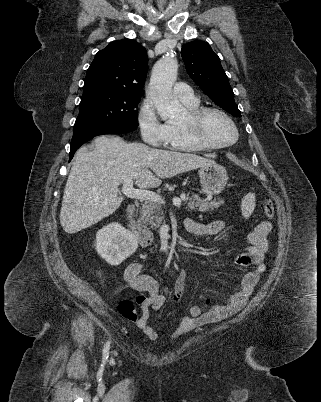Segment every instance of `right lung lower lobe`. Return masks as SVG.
I'll use <instances>...</instances> for the list:
<instances>
[{"instance_id":"right-lung-lower-lobe-1","label":"right lung lower lobe","mask_w":321,"mask_h":402,"mask_svg":"<svg viewBox=\"0 0 321 402\" xmlns=\"http://www.w3.org/2000/svg\"><path fill=\"white\" fill-rule=\"evenodd\" d=\"M133 128L124 124H110V125H92L85 127H75L73 130V137L70 145L69 160L74 156L76 150L91 138L104 134H118L133 131Z\"/></svg>"}]
</instances>
